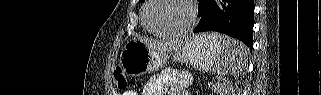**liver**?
Wrapping results in <instances>:
<instances>
[{"label":"liver","instance_id":"6515ba94","mask_svg":"<svg viewBox=\"0 0 321 95\" xmlns=\"http://www.w3.org/2000/svg\"><path fill=\"white\" fill-rule=\"evenodd\" d=\"M138 40L144 42L150 48L159 52H172L181 47L183 40H170L166 42H161L158 40H153L145 37H138Z\"/></svg>","mask_w":321,"mask_h":95}]
</instances>
